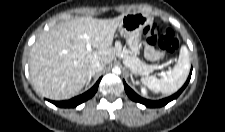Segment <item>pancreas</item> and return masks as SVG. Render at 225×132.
<instances>
[{
    "label": "pancreas",
    "instance_id": "obj_1",
    "mask_svg": "<svg viewBox=\"0 0 225 132\" xmlns=\"http://www.w3.org/2000/svg\"><path fill=\"white\" fill-rule=\"evenodd\" d=\"M115 52L118 57L123 59V63L135 75H147L151 72L153 65H148L141 61L136 55H129L123 51L122 44L117 41L115 43Z\"/></svg>",
    "mask_w": 225,
    "mask_h": 132
}]
</instances>
